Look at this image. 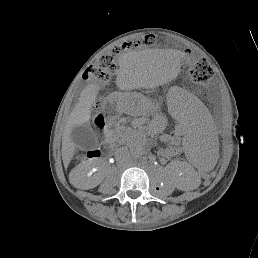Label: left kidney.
Instances as JSON below:
<instances>
[{"label": "left kidney", "instance_id": "5707ae66", "mask_svg": "<svg viewBox=\"0 0 258 258\" xmlns=\"http://www.w3.org/2000/svg\"><path fill=\"white\" fill-rule=\"evenodd\" d=\"M185 169L183 171V174L181 172L182 177H180L176 182V187L179 190L187 191V190H193L194 187V173H192L189 167L186 165L184 166Z\"/></svg>", "mask_w": 258, "mask_h": 258}]
</instances>
